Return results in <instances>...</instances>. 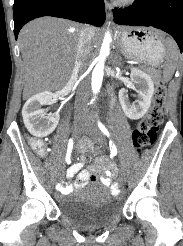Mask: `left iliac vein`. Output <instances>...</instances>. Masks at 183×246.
Returning a JSON list of instances; mask_svg holds the SVG:
<instances>
[{"mask_svg": "<svg viewBox=\"0 0 183 246\" xmlns=\"http://www.w3.org/2000/svg\"><path fill=\"white\" fill-rule=\"evenodd\" d=\"M85 130L90 131L93 134V137L95 139L96 142L100 143V144H104L105 140L104 137L102 136L101 132L99 131V129L97 128V126L89 121L85 124Z\"/></svg>", "mask_w": 183, "mask_h": 246, "instance_id": "1", "label": "left iliac vein"}]
</instances>
